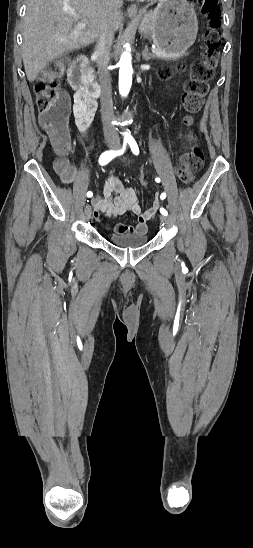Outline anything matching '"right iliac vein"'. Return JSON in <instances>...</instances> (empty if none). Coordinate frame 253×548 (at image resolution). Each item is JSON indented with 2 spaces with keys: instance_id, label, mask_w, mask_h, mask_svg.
Returning <instances> with one entry per match:
<instances>
[{
  "instance_id": "63e3f726",
  "label": "right iliac vein",
  "mask_w": 253,
  "mask_h": 548,
  "mask_svg": "<svg viewBox=\"0 0 253 548\" xmlns=\"http://www.w3.org/2000/svg\"><path fill=\"white\" fill-rule=\"evenodd\" d=\"M111 148L115 147L114 145H109ZM85 216H86V219L89 220L91 218V214H92V209L91 207L88 205L86 206L85 208Z\"/></svg>"
}]
</instances>
